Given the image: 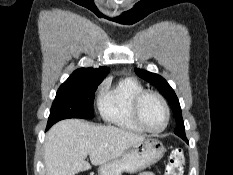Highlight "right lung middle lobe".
Masks as SVG:
<instances>
[{"label":"right lung middle lobe","mask_w":233,"mask_h":175,"mask_svg":"<svg viewBox=\"0 0 233 175\" xmlns=\"http://www.w3.org/2000/svg\"><path fill=\"white\" fill-rule=\"evenodd\" d=\"M101 81L87 80L63 83L52 104L47 129L56 122L67 118H93V100Z\"/></svg>","instance_id":"dd1d6c3e"}]
</instances>
